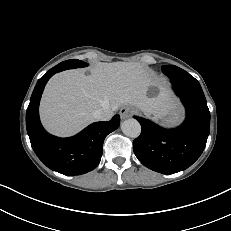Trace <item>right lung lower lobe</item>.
Segmentation results:
<instances>
[{"label": "right lung lower lobe", "instance_id": "right-lung-lower-lobe-1", "mask_svg": "<svg viewBox=\"0 0 231 231\" xmlns=\"http://www.w3.org/2000/svg\"><path fill=\"white\" fill-rule=\"evenodd\" d=\"M60 71L52 68L38 80L26 111L27 133L34 152L48 168L68 176L81 175L100 163L104 139L118 128L120 116L92 123L70 138L50 135L41 125L38 108L47 81Z\"/></svg>", "mask_w": 231, "mask_h": 231}]
</instances>
